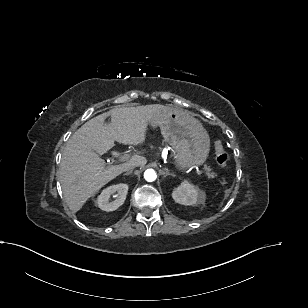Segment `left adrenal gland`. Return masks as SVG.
<instances>
[{
  "mask_svg": "<svg viewBox=\"0 0 308 308\" xmlns=\"http://www.w3.org/2000/svg\"><path fill=\"white\" fill-rule=\"evenodd\" d=\"M162 174L164 175V177H167L168 175H171V176L175 177V174L174 173H170L167 168L163 169Z\"/></svg>",
  "mask_w": 308,
  "mask_h": 308,
  "instance_id": "1",
  "label": "left adrenal gland"
}]
</instances>
